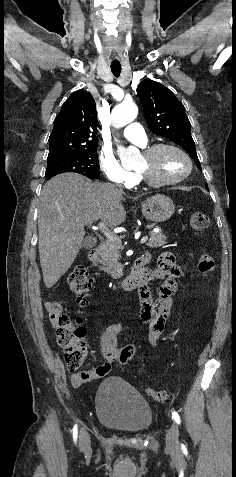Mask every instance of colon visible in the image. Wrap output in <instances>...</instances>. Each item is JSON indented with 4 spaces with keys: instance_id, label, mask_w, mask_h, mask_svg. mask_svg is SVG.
<instances>
[{
    "instance_id": "obj_1",
    "label": "colon",
    "mask_w": 236,
    "mask_h": 477,
    "mask_svg": "<svg viewBox=\"0 0 236 477\" xmlns=\"http://www.w3.org/2000/svg\"><path fill=\"white\" fill-rule=\"evenodd\" d=\"M210 227L209 217L202 212H193L190 215V228L194 232H203ZM215 267L211 255L203 253L200 255L197 264L198 273L202 277L209 276ZM68 285L75 294V301L79 305H85L92 290V279L88 270L81 265L72 268L68 275ZM57 342L64 349V360L67 368L71 371L80 369L84 363L86 355V345L84 341L85 331L78 327L77 321L67 314H61L56 320ZM136 347V345H134ZM137 352V347H136ZM136 354V353H135ZM135 355L128 348L123 349L117 359L119 364H126ZM146 393L155 401L164 403L168 401L172 394L165 389L156 390L147 388Z\"/></svg>"
}]
</instances>
